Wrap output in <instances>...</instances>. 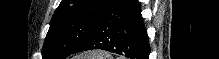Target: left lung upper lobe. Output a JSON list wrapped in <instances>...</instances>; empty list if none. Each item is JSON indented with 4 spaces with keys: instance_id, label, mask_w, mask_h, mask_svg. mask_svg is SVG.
<instances>
[{
    "instance_id": "obj_1",
    "label": "left lung upper lobe",
    "mask_w": 219,
    "mask_h": 59,
    "mask_svg": "<svg viewBox=\"0 0 219 59\" xmlns=\"http://www.w3.org/2000/svg\"><path fill=\"white\" fill-rule=\"evenodd\" d=\"M113 0H62L44 41L42 59H65L95 31Z\"/></svg>"
}]
</instances>
